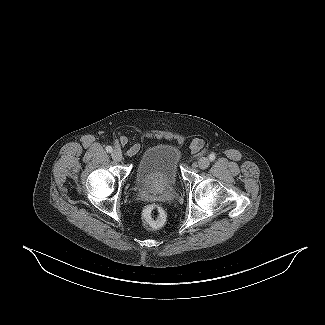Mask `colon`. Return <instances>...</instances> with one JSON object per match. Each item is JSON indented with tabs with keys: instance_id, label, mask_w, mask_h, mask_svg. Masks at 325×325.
<instances>
[{
	"instance_id": "5ec220e1",
	"label": "colon",
	"mask_w": 325,
	"mask_h": 325,
	"mask_svg": "<svg viewBox=\"0 0 325 325\" xmlns=\"http://www.w3.org/2000/svg\"><path fill=\"white\" fill-rule=\"evenodd\" d=\"M200 146V143L196 142L194 148L199 149ZM143 218L149 227L156 228L164 223L165 212L159 205L149 204L143 210Z\"/></svg>"
}]
</instances>
